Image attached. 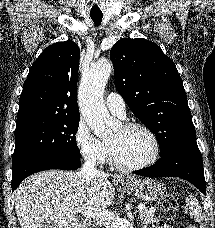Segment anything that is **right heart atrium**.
I'll return each mask as SVG.
<instances>
[{
    "label": "right heart atrium",
    "instance_id": "obj_1",
    "mask_svg": "<svg viewBox=\"0 0 215 228\" xmlns=\"http://www.w3.org/2000/svg\"><path fill=\"white\" fill-rule=\"evenodd\" d=\"M74 146L79 156L86 162L101 164L108 156V147L91 131L83 118H79L73 132Z\"/></svg>",
    "mask_w": 215,
    "mask_h": 228
}]
</instances>
